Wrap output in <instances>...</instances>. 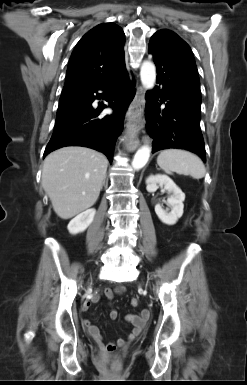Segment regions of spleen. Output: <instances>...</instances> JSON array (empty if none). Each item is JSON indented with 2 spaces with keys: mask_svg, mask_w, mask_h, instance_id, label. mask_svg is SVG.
Listing matches in <instances>:
<instances>
[{
  "mask_svg": "<svg viewBox=\"0 0 247 385\" xmlns=\"http://www.w3.org/2000/svg\"><path fill=\"white\" fill-rule=\"evenodd\" d=\"M157 164L166 173L190 175L195 179L205 176L206 169L202 160L195 154L180 149L163 150L157 157Z\"/></svg>",
  "mask_w": 247,
  "mask_h": 385,
  "instance_id": "1",
  "label": "spleen"
}]
</instances>
